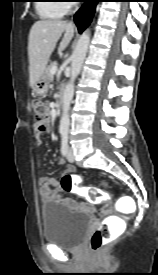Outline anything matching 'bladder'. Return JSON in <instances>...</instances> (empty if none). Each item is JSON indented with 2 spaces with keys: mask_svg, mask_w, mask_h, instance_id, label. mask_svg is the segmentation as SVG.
<instances>
[{
  "mask_svg": "<svg viewBox=\"0 0 158 275\" xmlns=\"http://www.w3.org/2000/svg\"><path fill=\"white\" fill-rule=\"evenodd\" d=\"M42 220L44 240L62 249H76L91 223L86 213L55 202L43 206Z\"/></svg>",
  "mask_w": 158,
  "mask_h": 275,
  "instance_id": "1",
  "label": "bladder"
}]
</instances>
